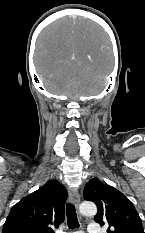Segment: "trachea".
<instances>
[{
	"mask_svg": "<svg viewBox=\"0 0 145 233\" xmlns=\"http://www.w3.org/2000/svg\"><path fill=\"white\" fill-rule=\"evenodd\" d=\"M66 216L69 228H77L79 226L74 205L70 203L66 205Z\"/></svg>",
	"mask_w": 145,
	"mask_h": 233,
	"instance_id": "1",
	"label": "trachea"
}]
</instances>
